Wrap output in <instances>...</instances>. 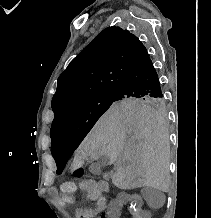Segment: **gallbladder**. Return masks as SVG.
Returning a JSON list of instances; mask_svg holds the SVG:
<instances>
[{
  "label": "gallbladder",
  "mask_w": 211,
  "mask_h": 218,
  "mask_svg": "<svg viewBox=\"0 0 211 218\" xmlns=\"http://www.w3.org/2000/svg\"><path fill=\"white\" fill-rule=\"evenodd\" d=\"M109 160L107 156H102L99 162H90L89 172L91 174H96V176H101L103 166H107Z\"/></svg>",
  "instance_id": "1"
}]
</instances>
